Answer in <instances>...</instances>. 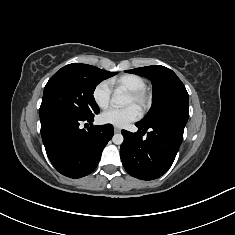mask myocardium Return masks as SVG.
Segmentation results:
<instances>
[{
	"label": "myocardium",
	"instance_id": "myocardium-1",
	"mask_svg": "<svg viewBox=\"0 0 235 235\" xmlns=\"http://www.w3.org/2000/svg\"><path fill=\"white\" fill-rule=\"evenodd\" d=\"M129 95L136 102L140 112L144 113L150 107V105H151V94L146 88L129 91Z\"/></svg>",
	"mask_w": 235,
	"mask_h": 235
}]
</instances>
